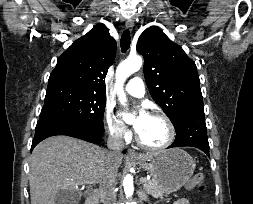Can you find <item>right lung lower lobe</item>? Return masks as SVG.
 I'll use <instances>...</instances> for the list:
<instances>
[{
  "label": "right lung lower lobe",
  "instance_id": "obj_1",
  "mask_svg": "<svg viewBox=\"0 0 253 204\" xmlns=\"http://www.w3.org/2000/svg\"><path fill=\"white\" fill-rule=\"evenodd\" d=\"M55 135H67L91 143H100L103 141L104 129H95L64 120L39 119L35 129L31 150L45 138Z\"/></svg>",
  "mask_w": 253,
  "mask_h": 204
}]
</instances>
